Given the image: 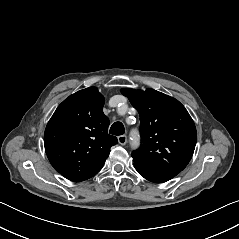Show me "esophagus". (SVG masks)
I'll list each match as a JSON object with an SVG mask.
<instances>
[{"label":"esophagus","mask_w":239,"mask_h":239,"mask_svg":"<svg viewBox=\"0 0 239 239\" xmlns=\"http://www.w3.org/2000/svg\"><path fill=\"white\" fill-rule=\"evenodd\" d=\"M118 142H119L121 145H125L126 142H127V137H126V135H120V136H118Z\"/></svg>","instance_id":"1"}]
</instances>
